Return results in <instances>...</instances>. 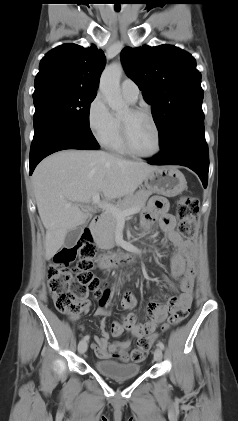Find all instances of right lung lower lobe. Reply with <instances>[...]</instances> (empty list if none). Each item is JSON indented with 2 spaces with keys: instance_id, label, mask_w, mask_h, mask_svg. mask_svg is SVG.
<instances>
[{
  "instance_id": "98d812e1",
  "label": "right lung lower lobe",
  "mask_w": 238,
  "mask_h": 421,
  "mask_svg": "<svg viewBox=\"0 0 238 421\" xmlns=\"http://www.w3.org/2000/svg\"><path fill=\"white\" fill-rule=\"evenodd\" d=\"M100 146L96 139L88 138L68 124L47 117L34 128L30 149V175L46 156L65 149L94 150Z\"/></svg>"
}]
</instances>
